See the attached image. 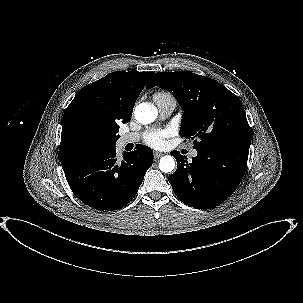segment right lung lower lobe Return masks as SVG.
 <instances>
[{"label":"right lung lower lobe","mask_w":303,"mask_h":303,"mask_svg":"<svg viewBox=\"0 0 303 303\" xmlns=\"http://www.w3.org/2000/svg\"><path fill=\"white\" fill-rule=\"evenodd\" d=\"M153 153L145 146L116 156L115 146L63 167L73 193L86 205L113 211L124 207L136 195Z\"/></svg>","instance_id":"right-lung-lower-lobe-1"}]
</instances>
